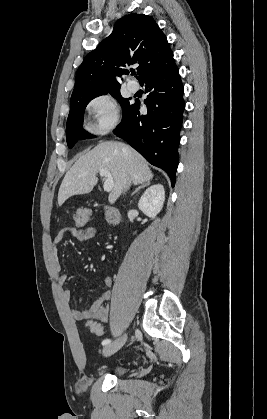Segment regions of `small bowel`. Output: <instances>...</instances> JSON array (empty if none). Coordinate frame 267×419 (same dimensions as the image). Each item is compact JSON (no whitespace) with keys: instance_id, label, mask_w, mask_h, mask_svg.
I'll list each match as a JSON object with an SVG mask.
<instances>
[{"instance_id":"small-bowel-1","label":"small bowel","mask_w":267,"mask_h":419,"mask_svg":"<svg viewBox=\"0 0 267 419\" xmlns=\"http://www.w3.org/2000/svg\"><path fill=\"white\" fill-rule=\"evenodd\" d=\"M98 234V230L94 227H80V228H69L60 230L53 240V256H54V270L58 275V281L61 285H64L68 281V275L61 272V266L57 254V244L65 237L70 236L78 241H86ZM104 285L110 288L113 285L111 277L107 276L103 280ZM85 294V290L82 295ZM63 297L69 301L71 298V292L68 289L63 290ZM111 299V292L105 291L99 299L84 310L73 309L72 316L77 321H84L89 319L98 320L100 322H106L109 318L110 310L108 302Z\"/></svg>"}]
</instances>
